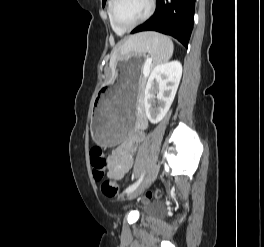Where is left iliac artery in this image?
<instances>
[{
	"instance_id": "1",
	"label": "left iliac artery",
	"mask_w": 264,
	"mask_h": 247,
	"mask_svg": "<svg viewBox=\"0 0 264 247\" xmlns=\"http://www.w3.org/2000/svg\"><path fill=\"white\" fill-rule=\"evenodd\" d=\"M144 175H145V173H143L141 175V177L139 178V180L137 182H135L134 184H132L128 188H126L125 192L128 193V194L133 192L140 185V183L142 182V180L144 178Z\"/></svg>"
}]
</instances>
